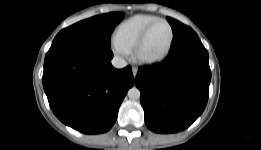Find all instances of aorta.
Wrapping results in <instances>:
<instances>
[{
	"instance_id": "obj_1",
	"label": "aorta",
	"mask_w": 261,
	"mask_h": 150,
	"mask_svg": "<svg viewBox=\"0 0 261 150\" xmlns=\"http://www.w3.org/2000/svg\"><path fill=\"white\" fill-rule=\"evenodd\" d=\"M128 97L130 99H139L140 98V90L136 87H132L128 90V93H127Z\"/></svg>"
}]
</instances>
